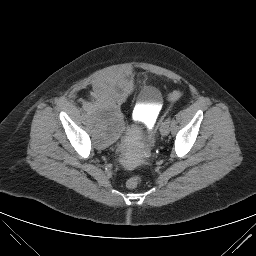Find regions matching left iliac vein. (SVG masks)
I'll use <instances>...</instances> for the list:
<instances>
[{
    "instance_id": "left-iliac-vein-1",
    "label": "left iliac vein",
    "mask_w": 256,
    "mask_h": 256,
    "mask_svg": "<svg viewBox=\"0 0 256 256\" xmlns=\"http://www.w3.org/2000/svg\"><path fill=\"white\" fill-rule=\"evenodd\" d=\"M170 131V122L164 121L160 126V133L163 136H166L169 134Z\"/></svg>"
}]
</instances>
